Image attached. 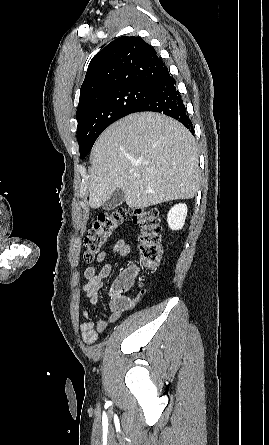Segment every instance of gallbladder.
<instances>
[{"label":"gallbladder","instance_id":"obj_1","mask_svg":"<svg viewBox=\"0 0 269 445\" xmlns=\"http://www.w3.org/2000/svg\"><path fill=\"white\" fill-rule=\"evenodd\" d=\"M125 200L124 193L121 189L115 190L109 199L103 204L105 210H113L117 206L121 205Z\"/></svg>","mask_w":269,"mask_h":445}]
</instances>
